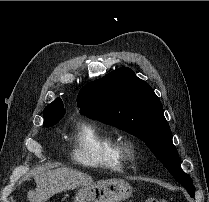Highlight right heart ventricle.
Masks as SVG:
<instances>
[{"instance_id": "obj_1", "label": "right heart ventricle", "mask_w": 209, "mask_h": 202, "mask_svg": "<svg viewBox=\"0 0 209 202\" xmlns=\"http://www.w3.org/2000/svg\"><path fill=\"white\" fill-rule=\"evenodd\" d=\"M72 156L81 164L124 171L131 159L117 150L119 136L94 122H82L72 135Z\"/></svg>"}]
</instances>
